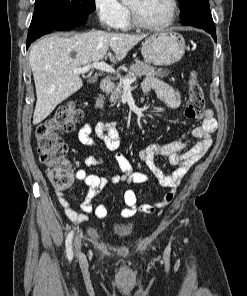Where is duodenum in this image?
I'll use <instances>...</instances> for the list:
<instances>
[{
  "mask_svg": "<svg viewBox=\"0 0 247 296\" xmlns=\"http://www.w3.org/2000/svg\"><path fill=\"white\" fill-rule=\"evenodd\" d=\"M112 89V82L107 79H102L99 85V92L100 93H107Z\"/></svg>",
  "mask_w": 247,
  "mask_h": 296,
  "instance_id": "duodenum-1",
  "label": "duodenum"
}]
</instances>
